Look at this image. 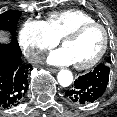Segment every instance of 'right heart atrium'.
Instances as JSON below:
<instances>
[{
    "label": "right heart atrium",
    "instance_id": "obj_1",
    "mask_svg": "<svg viewBox=\"0 0 117 117\" xmlns=\"http://www.w3.org/2000/svg\"><path fill=\"white\" fill-rule=\"evenodd\" d=\"M19 42L25 56L36 63L42 59L45 51L58 43V39L53 36L45 22L26 20L19 31Z\"/></svg>",
    "mask_w": 117,
    "mask_h": 117
}]
</instances>
